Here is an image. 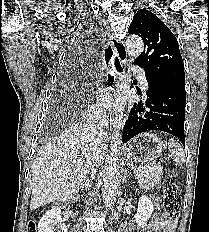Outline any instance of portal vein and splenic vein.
<instances>
[{
	"instance_id": "1",
	"label": "portal vein and splenic vein",
	"mask_w": 209,
	"mask_h": 232,
	"mask_svg": "<svg viewBox=\"0 0 209 232\" xmlns=\"http://www.w3.org/2000/svg\"><path fill=\"white\" fill-rule=\"evenodd\" d=\"M155 167H156L155 165H152L151 167L149 166V167H147V168H148V169H155ZM139 168H142V169H143L144 167L141 166V167H139ZM135 170H136V169H134V172H135Z\"/></svg>"
}]
</instances>
